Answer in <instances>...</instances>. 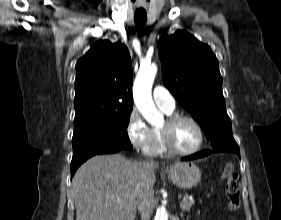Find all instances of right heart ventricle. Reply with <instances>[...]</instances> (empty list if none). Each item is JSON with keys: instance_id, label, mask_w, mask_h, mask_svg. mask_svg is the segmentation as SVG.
Here are the masks:
<instances>
[{"instance_id": "obj_1", "label": "right heart ventricle", "mask_w": 281, "mask_h": 220, "mask_svg": "<svg viewBox=\"0 0 281 220\" xmlns=\"http://www.w3.org/2000/svg\"><path fill=\"white\" fill-rule=\"evenodd\" d=\"M163 112L166 113L167 115L172 114V111L168 112V111L163 110ZM151 134H152V141H151V145H150V148H149L147 154L151 155V156L165 154L167 151L165 150V148L162 144L159 129H156V128L151 129Z\"/></svg>"}]
</instances>
